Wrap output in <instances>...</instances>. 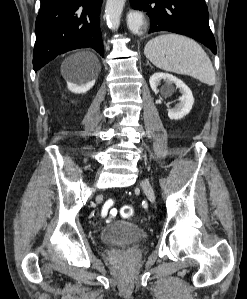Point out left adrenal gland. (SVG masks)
<instances>
[{
  "label": "left adrenal gland",
  "instance_id": "obj_1",
  "mask_svg": "<svg viewBox=\"0 0 247 299\" xmlns=\"http://www.w3.org/2000/svg\"><path fill=\"white\" fill-rule=\"evenodd\" d=\"M147 65H150L148 61H147ZM150 66H151V65H150Z\"/></svg>",
  "mask_w": 247,
  "mask_h": 299
}]
</instances>
